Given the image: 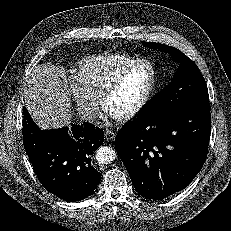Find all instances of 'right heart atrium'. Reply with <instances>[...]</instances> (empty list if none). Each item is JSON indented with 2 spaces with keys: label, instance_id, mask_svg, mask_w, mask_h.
Masks as SVG:
<instances>
[{
  "label": "right heart atrium",
  "instance_id": "d8ad5b80",
  "mask_svg": "<svg viewBox=\"0 0 231 231\" xmlns=\"http://www.w3.org/2000/svg\"><path fill=\"white\" fill-rule=\"evenodd\" d=\"M66 89L74 99L80 116L85 120H91L96 112V98L89 95L74 77L67 79Z\"/></svg>",
  "mask_w": 231,
  "mask_h": 231
}]
</instances>
